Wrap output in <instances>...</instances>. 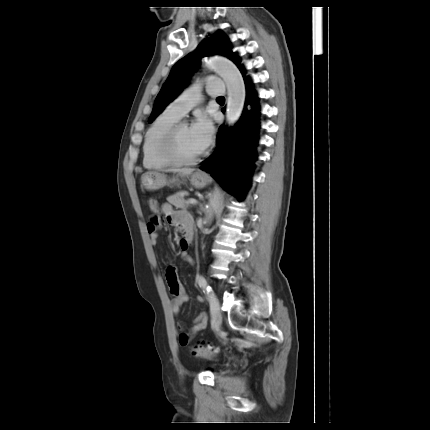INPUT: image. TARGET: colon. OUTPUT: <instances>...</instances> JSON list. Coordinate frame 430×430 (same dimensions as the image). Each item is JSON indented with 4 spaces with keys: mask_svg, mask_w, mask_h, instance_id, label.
Masks as SVG:
<instances>
[{
    "mask_svg": "<svg viewBox=\"0 0 430 430\" xmlns=\"http://www.w3.org/2000/svg\"><path fill=\"white\" fill-rule=\"evenodd\" d=\"M148 205L153 213H158V203L156 200L149 199ZM191 353L197 358L212 359L218 355L219 349L213 346H205L202 343H197L192 347Z\"/></svg>",
    "mask_w": 430,
    "mask_h": 430,
    "instance_id": "obj_1",
    "label": "colon"
}]
</instances>
